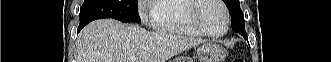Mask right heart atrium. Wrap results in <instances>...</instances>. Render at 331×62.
<instances>
[{"instance_id": "right-heart-atrium-1", "label": "right heart atrium", "mask_w": 331, "mask_h": 62, "mask_svg": "<svg viewBox=\"0 0 331 62\" xmlns=\"http://www.w3.org/2000/svg\"><path fill=\"white\" fill-rule=\"evenodd\" d=\"M159 1L157 0H140L139 1V12L143 22L149 21V11L157 5ZM152 16V14H151Z\"/></svg>"}]
</instances>
